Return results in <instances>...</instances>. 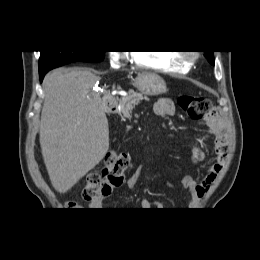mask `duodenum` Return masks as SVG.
Here are the masks:
<instances>
[{
  "label": "duodenum",
  "instance_id": "obj_1",
  "mask_svg": "<svg viewBox=\"0 0 260 260\" xmlns=\"http://www.w3.org/2000/svg\"><path fill=\"white\" fill-rule=\"evenodd\" d=\"M105 109L108 113H115L117 111V105L113 101H106Z\"/></svg>",
  "mask_w": 260,
  "mask_h": 260
}]
</instances>
